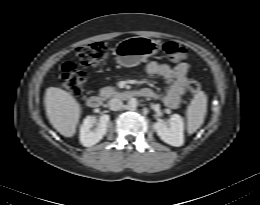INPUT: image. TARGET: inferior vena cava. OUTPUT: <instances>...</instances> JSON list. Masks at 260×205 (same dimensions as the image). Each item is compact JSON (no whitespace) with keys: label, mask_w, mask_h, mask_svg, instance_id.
Listing matches in <instances>:
<instances>
[{"label":"inferior vena cava","mask_w":260,"mask_h":205,"mask_svg":"<svg viewBox=\"0 0 260 205\" xmlns=\"http://www.w3.org/2000/svg\"><path fill=\"white\" fill-rule=\"evenodd\" d=\"M123 107V103L118 98H113L109 101V108L113 111H118Z\"/></svg>","instance_id":"obj_1"}]
</instances>
